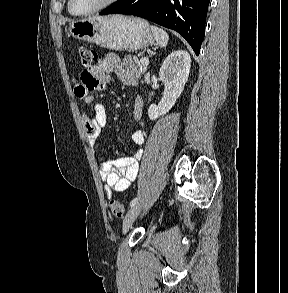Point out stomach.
I'll return each mask as SVG.
<instances>
[{
	"instance_id": "stomach-1",
	"label": "stomach",
	"mask_w": 288,
	"mask_h": 293,
	"mask_svg": "<svg viewBox=\"0 0 288 293\" xmlns=\"http://www.w3.org/2000/svg\"><path fill=\"white\" fill-rule=\"evenodd\" d=\"M68 32L75 39L116 51H136L155 42L152 29L145 20L123 15L93 16L74 21Z\"/></svg>"
}]
</instances>
